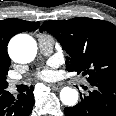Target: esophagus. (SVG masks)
I'll use <instances>...</instances> for the list:
<instances>
[{"label": "esophagus", "instance_id": "obj_1", "mask_svg": "<svg viewBox=\"0 0 116 116\" xmlns=\"http://www.w3.org/2000/svg\"><path fill=\"white\" fill-rule=\"evenodd\" d=\"M49 87H51L53 90H59L61 88L60 84H49Z\"/></svg>", "mask_w": 116, "mask_h": 116}]
</instances>
